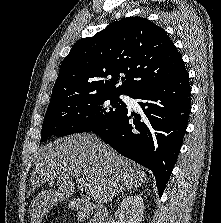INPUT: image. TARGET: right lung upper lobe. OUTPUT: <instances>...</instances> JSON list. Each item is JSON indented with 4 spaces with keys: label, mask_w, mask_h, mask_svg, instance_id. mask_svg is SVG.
Returning <instances> with one entry per match:
<instances>
[{
    "label": "right lung upper lobe",
    "mask_w": 221,
    "mask_h": 223,
    "mask_svg": "<svg viewBox=\"0 0 221 223\" xmlns=\"http://www.w3.org/2000/svg\"><path fill=\"white\" fill-rule=\"evenodd\" d=\"M185 71L164 29L146 18L127 17L73 45L61 64L51 102L83 94L130 96L173 81Z\"/></svg>",
    "instance_id": "right-lung-upper-lobe-1"
}]
</instances>
